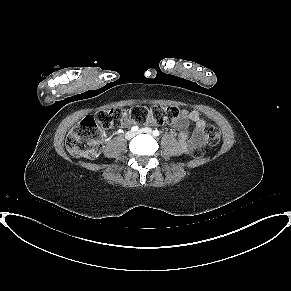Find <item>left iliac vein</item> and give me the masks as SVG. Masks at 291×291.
Wrapping results in <instances>:
<instances>
[{
    "instance_id": "obj_1",
    "label": "left iliac vein",
    "mask_w": 291,
    "mask_h": 291,
    "mask_svg": "<svg viewBox=\"0 0 291 291\" xmlns=\"http://www.w3.org/2000/svg\"><path fill=\"white\" fill-rule=\"evenodd\" d=\"M137 133H147V134H151L152 130L150 128H143L140 129Z\"/></svg>"
}]
</instances>
